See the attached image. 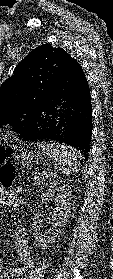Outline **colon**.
Segmentation results:
<instances>
[{"label":"colon","mask_w":113,"mask_h":279,"mask_svg":"<svg viewBox=\"0 0 113 279\" xmlns=\"http://www.w3.org/2000/svg\"><path fill=\"white\" fill-rule=\"evenodd\" d=\"M12 149L7 146H0V184L4 189H12L15 179L16 170L10 162Z\"/></svg>","instance_id":"5ec220e1"}]
</instances>
